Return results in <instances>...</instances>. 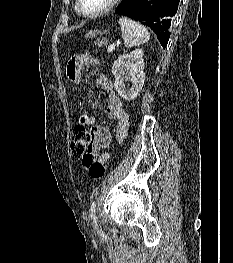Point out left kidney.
Returning <instances> with one entry per match:
<instances>
[{"instance_id":"5707ae66","label":"left kidney","mask_w":233,"mask_h":263,"mask_svg":"<svg viewBox=\"0 0 233 263\" xmlns=\"http://www.w3.org/2000/svg\"><path fill=\"white\" fill-rule=\"evenodd\" d=\"M143 55L142 49H135L119 56L113 64L112 73L115 76V90L124 100H133L143 88L145 81ZM125 81H131L132 87L126 86Z\"/></svg>"}]
</instances>
